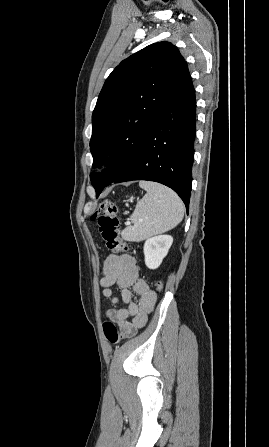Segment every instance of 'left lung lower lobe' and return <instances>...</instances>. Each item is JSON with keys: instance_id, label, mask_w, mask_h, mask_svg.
Listing matches in <instances>:
<instances>
[{"instance_id": "obj_1", "label": "left lung lower lobe", "mask_w": 269, "mask_h": 447, "mask_svg": "<svg viewBox=\"0 0 269 447\" xmlns=\"http://www.w3.org/2000/svg\"><path fill=\"white\" fill-rule=\"evenodd\" d=\"M195 123V90L185 62L161 116L146 133L128 166L111 183L131 180L162 183L181 197L188 211L192 187ZM103 188L96 190L97 197Z\"/></svg>"}]
</instances>
